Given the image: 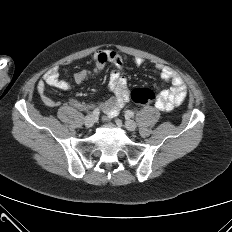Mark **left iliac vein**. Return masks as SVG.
Wrapping results in <instances>:
<instances>
[{"mask_svg": "<svg viewBox=\"0 0 232 232\" xmlns=\"http://www.w3.org/2000/svg\"><path fill=\"white\" fill-rule=\"evenodd\" d=\"M125 127L129 131H134L136 129V123L131 119H127L125 121Z\"/></svg>", "mask_w": 232, "mask_h": 232, "instance_id": "4c4485c4", "label": "left iliac vein"}]
</instances>
